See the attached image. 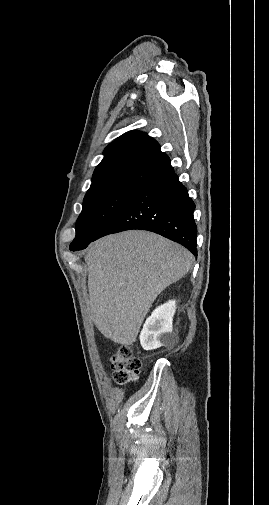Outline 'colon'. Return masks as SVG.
Segmentation results:
<instances>
[{
	"mask_svg": "<svg viewBox=\"0 0 269 505\" xmlns=\"http://www.w3.org/2000/svg\"><path fill=\"white\" fill-rule=\"evenodd\" d=\"M112 377L118 384L135 381L141 369L140 359L128 346H120L110 359Z\"/></svg>",
	"mask_w": 269,
	"mask_h": 505,
	"instance_id": "5ec220e1",
	"label": "colon"
}]
</instances>
